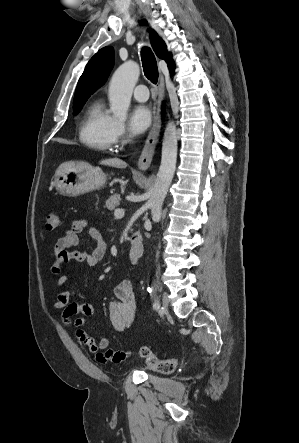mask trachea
<instances>
[{
  "label": "trachea",
  "mask_w": 299,
  "mask_h": 443,
  "mask_svg": "<svg viewBox=\"0 0 299 443\" xmlns=\"http://www.w3.org/2000/svg\"><path fill=\"white\" fill-rule=\"evenodd\" d=\"M144 74L153 84L158 80V67L156 58L150 48L144 47L141 51Z\"/></svg>",
  "instance_id": "obj_1"
}]
</instances>
